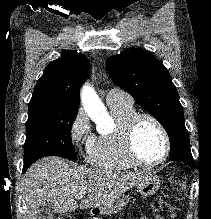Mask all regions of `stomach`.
Masks as SVG:
<instances>
[{
    "instance_id": "1",
    "label": "stomach",
    "mask_w": 211,
    "mask_h": 219,
    "mask_svg": "<svg viewBox=\"0 0 211 219\" xmlns=\"http://www.w3.org/2000/svg\"><path fill=\"white\" fill-rule=\"evenodd\" d=\"M160 187V180L154 173L149 174L146 178L137 184V191L142 196L154 195ZM130 197L121 194L110 202L103 204L91 210V214L112 215L121 211L129 203Z\"/></svg>"
}]
</instances>
